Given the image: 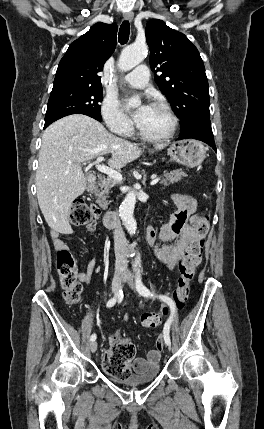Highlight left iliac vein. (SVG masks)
<instances>
[{
  "mask_svg": "<svg viewBox=\"0 0 264 429\" xmlns=\"http://www.w3.org/2000/svg\"><path fill=\"white\" fill-rule=\"evenodd\" d=\"M128 286L132 289V290H135V284H134V282H133V279H132V277L129 275L128 276ZM167 345V344H166ZM167 348H168V350H171V346L170 345H167Z\"/></svg>",
  "mask_w": 264,
  "mask_h": 429,
  "instance_id": "obj_1",
  "label": "left iliac vein"
}]
</instances>
